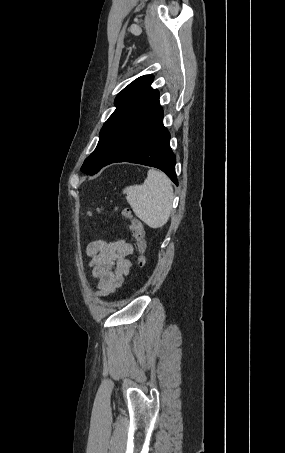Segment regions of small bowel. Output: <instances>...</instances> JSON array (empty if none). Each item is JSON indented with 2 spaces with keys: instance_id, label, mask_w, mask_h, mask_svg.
Here are the masks:
<instances>
[{
  "instance_id": "1",
  "label": "small bowel",
  "mask_w": 285,
  "mask_h": 453,
  "mask_svg": "<svg viewBox=\"0 0 285 453\" xmlns=\"http://www.w3.org/2000/svg\"><path fill=\"white\" fill-rule=\"evenodd\" d=\"M133 252V245L126 239L95 240L88 245L91 275L97 280L98 295L108 296L124 283L131 268L129 256Z\"/></svg>"
}]
</instances>
